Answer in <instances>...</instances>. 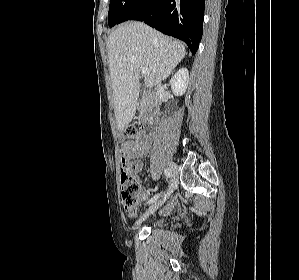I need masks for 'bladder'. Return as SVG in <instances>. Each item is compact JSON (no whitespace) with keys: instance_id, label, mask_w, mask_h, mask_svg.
<instances>
[{"instance_id":"31cf9c89","label":"bladder","mask_w":299,"mask_h":280,"mask_svg":"<svg viewBox=\"0 0 299 280\" xmlns=\"http://www.w3.org/2000/svg\"><path fill=\"white\" fill-rule=\"evenodd\" d=\"M163 226H164V222L161 221V220L155 222V224H154V227H155V228H161V227H163Z\"/></svg>"}]
</instances>
